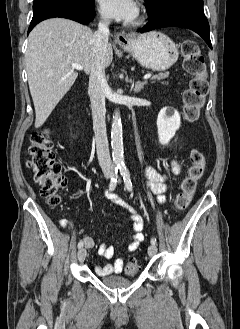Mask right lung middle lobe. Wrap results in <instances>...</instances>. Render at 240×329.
Instances as JSON below:
<instances>
[{"instance_id":"obj_1","label":"right lung middle lobe","mask_w":240,"mask_h":329,"mask_svg":"<svg viewBox=\"0 0 240 329\" xmlns=\"http://www.w3.org/2000/svg\"><path fill=\"white\" fill-rule=\"evenodd\" d=\"M41 1L61 2L75 6H89L94 3V0H34V3Z\"/></svg>"}]
</instances>
